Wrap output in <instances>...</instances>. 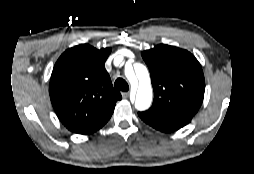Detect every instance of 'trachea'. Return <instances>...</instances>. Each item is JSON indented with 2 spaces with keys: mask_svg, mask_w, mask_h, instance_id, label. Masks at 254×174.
<instances>
[{
  "mask_svg": "<svg viewBox=\"0 0 254 174\" xmlns=\"http://www.w3.org/2000/svg\"><path fill=\"white\" fill-rule=\"evenodd\" d=\"M114 87L117 90H121V91H128L129 90L128 83L123 78H118L114 83Z\"/></svg>",
  "mask_w": 254,
  "mask_h": 174,
  "instance_id": "1",
  "label": "trachea"
}]
</instances>
